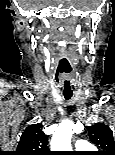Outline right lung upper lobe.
<instances>
[{"instance_id":"1","label":"right lung upper lobe","mask_w":115,"mask_h":155,"mask_svg":"<svg viewBox=\"0 0 115 155\" xmlns=\"http://www.w3.org/2000/svg\"><path fill=\"white\" fill-rule=\"evenodd\" d=\"M41 124L28 126L22 136L14 155H51L48 149V137L41 130Z\"/></svg>"}]
</instances>
